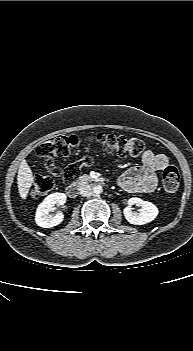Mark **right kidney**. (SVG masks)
I'll return each instance as SVG.
<instances>
[{
  "label": "right kidney",
  "instance_id": "1",
  "mask_svg": "<svg viewBox=\"0 0 193 351\" xmlns=\"http://www.w3.org/2000/svg\"><path fill=\"white\" fill-rule=\"evenodd\" d=\"M64 193H53L48 195L43 202L38 205L35 215L36 224L42 228H51L63 221L64 215L57 213L55 216L49 213L53 210L54 205H64L66 202Z\"/></svg>",
  "mask_w": 193,
  "mask_h": 351
}]
</instances>
